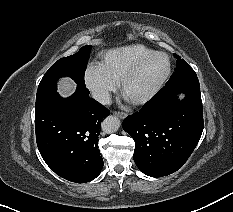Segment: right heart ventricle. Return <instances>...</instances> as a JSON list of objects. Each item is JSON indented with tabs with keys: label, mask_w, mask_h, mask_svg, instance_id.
<instances>
[{
	"label": "right heart ventricle",
	"mask_w": 233,
	"mask_h": 212,
	"mask_svg": "<svg viewBox=\"0 0 233 212\" xmlns=\"http://www.w3.org/2000/svg\"><path fill=\"white\" fill-rule=\"evenodd\" d=\"M155 52L141 45L132 44L108 50L101 54L100 65L117 82L143 57Z\"/></svg>",
	"instance_id": "1"
}]
</instances>
